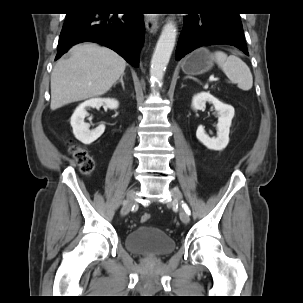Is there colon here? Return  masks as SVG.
I'll return each mask as SVG.
<instances>
[{
    "mask_svg": "<svg viewBox=\"0 0 303 303\" xmlns=\"http://www.w3.org/2000/svg\"><path fill=\"white\" fill-rule=\"evenodd\" d=\"M71 152L79 163L81 171L85 174H91L95 168V161L92 156L82 147H72ZM151 215L149 213H143L140 216V222L146 223L150 220Z\"/></svg>",
    "mask_w": 303,
    "mask_h": 303,
    "instance_id": "obj_1",
    "label": "colon"
}]
</instances>
